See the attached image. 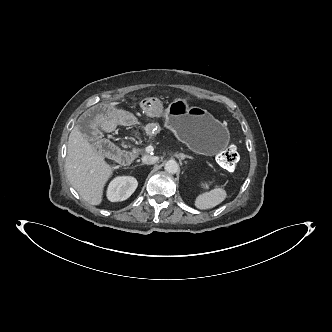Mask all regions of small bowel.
Instances as JSON below:
<instances>
[{"label":"small bowel","mask_w":332,"mask_h":332,"mask_svg":"<svg viewBox=\"0 0 332 332\" xmlns=\"http://www.w3.org/2000/svg\"><path fill=\"white\" fill-rule=\"evenodd\" d=\"M139 109L147 112L150 118H157L163 114V106L157 99L144 98L139 102ZM112 116V106L108 102H96L90 109L85 110L75 119V128L82 132V138L86 142H96L103 135V128L99 123H104L106 131H112L116 124L110 117ZM116 120L123 125L135 126L137 117L129 115L125 111L116 113Z\"/></svg>","instance_id":"small-bowel-1"}]
</instances>
